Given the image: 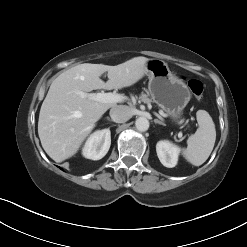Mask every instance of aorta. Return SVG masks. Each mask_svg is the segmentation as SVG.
<instances>
[{"instance_id": "762f6f07", "label": "aorta", "mask_w": 247, "mask_h": 247, "mask_svg": "<svg viewBox=\"0 0 247 247\" xmlns=\"http://www.w3.org/2000/svg\"><path fill=\"white\" fill-rule=\"evenodd\" d=\"M135 126L138 131H147L149 128V121L146 117H138L135 121Z\"/></svg>"}]
</instances>
